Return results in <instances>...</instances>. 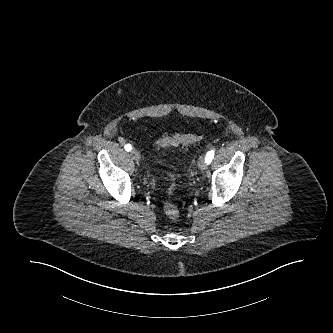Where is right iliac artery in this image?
<instances>
[{
    "label": "right iliac artery",
    "instance_id": "right-iliac-artery-1",
    "mask_svg": "<svg viewBox=\"0 0 333 333\" xmlns=\"http://www.w3.org/2000/svg\"><path fill=\"white\" fill-rule=\"evenodd\" d=\"M124 148H125L126 151H131L132 150V146L130 144H126Z\"/></svg>",
    "mask_w": 333,
    "mask_h": 333
}]
</instances>
